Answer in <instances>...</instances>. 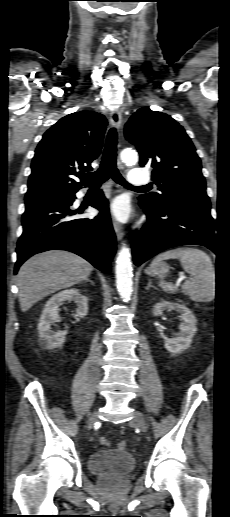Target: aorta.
<instances>
[{
  "mask_svg": "<svg viewBox=\"0 0 230 517\" xmlns=\"http://www.w3.org/2000/svg\"><path fill=\"white\" fill-rule=\"evenodd\" d=\"M121 160L127 165H134L138 161L136 151L124 149L120 154ZM116 285L121 298L128 301L133 291V273L129 248L122 246L116 259Z\"/></svg>",
  "mask_w": 230,
  "mask_h": 517,
  "instance_id": "762f6f07",
  "label": "aorta"
}]
</instances>
